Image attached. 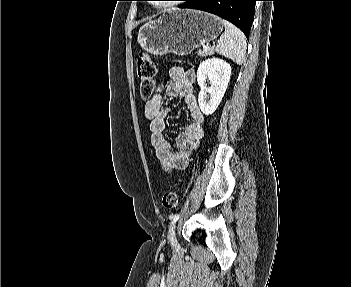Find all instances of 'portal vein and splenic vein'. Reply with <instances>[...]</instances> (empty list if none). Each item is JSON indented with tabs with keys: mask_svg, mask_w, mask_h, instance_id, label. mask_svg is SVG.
Returning <instances> with one entry per match:
<instances>
[{
	"mask_svg": "<svg viewBox=\"0 0 351 287\" xmlns=\"http://www.w3.org/2000/svg\"><path fill=\"white\" fill-rule=\"evenodd\" d=\"M208 48H209L208 45L203 47V49H208Z\"/></svg>",
	"mask_w": 351,
	"mask_h": 287,
	"instance_id": "18ae733b",
	"label": "portal vein and splenic vein"
}]
</instances>
